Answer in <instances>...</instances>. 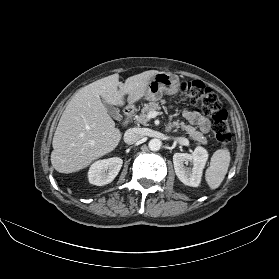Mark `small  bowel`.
Here are the masks:
<instances>
[{
  "label": "small bowel",
  "instance_id": "1",
  "mask_svg": "<svg viewBox=\"0 0 279 279\" xmlns=\"http://www.w3.org/2000/svg\"><path fill=\"white\" fill-rule=\"evenodd\" d=\"M182 115L186 118L191 124L196 125L203 133H207L210 130L211 123L210 121L203 117L200 113L196 111H191L184 109Z\"/></svg>",
  "mask_w": 279,
  "mask_h": 279
}]
</instances>
